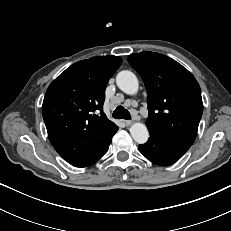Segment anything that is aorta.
Masks as SVG:
<instances>
[{
  "mask_svg": "<svg viewBox=\"0 0 231 231\" xmlns=\"http://www.w3.org/2000/svg\"><path fill=\"white\" fill-rule=\"evenodd\" d=\"M116 84L126 94H135L138 91L139 83L136 75L128 70L119 72L116 76ZM130 134L134 141L144 144L149 138V132L145 124L136 122L130 127Z\"/></svg>",
  "mask_w": 231,
  "mask_h": 231,
  "instance_id": "762f6f07",
  "label": "aorta"
}]
</instances>
